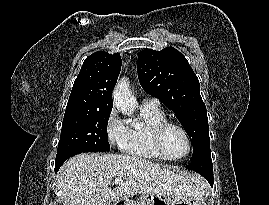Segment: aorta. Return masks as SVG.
Here are the masks:
<instances>
[{
  "mask_svg": "<svg viewBox=\"0 0 269 205\" xmlns=\"http://www.w3.org/2000/svg\"><path fill=\"white\" fill-rule=\"evenodd\" d=\"M114 106L124 115L131 116L135 111L137 101L129 89L126 80H121L113 91Z\"/></svg>",
  "mask_w": 269,
  "mask_h": 205,
  "instance_id": "1",
  "label": "aorta"
}]
</instances>
